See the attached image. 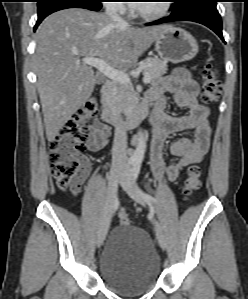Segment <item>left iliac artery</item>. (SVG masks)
Wrapping results in <instances>:
<instances>
[{"instance_id":"44dca946","label":"left iliac artery","mask_w":248,"mask_h":299,"mask_svg":"<svg viewBox=\"0 0 248 299\" xmlns=\"http://www.w3.org/2000/svg\"><path fill=\"white\" fill-rule=\"evenodd\" d=\"M140 169H141V162L135 161L133 163V169H132V176H133L134 180L138 179ZM141 195H142V198L148 203H156L157 202V200L154 197H152L151 195H149L143 191H141Z\"/></svg>"}]
</instances>
